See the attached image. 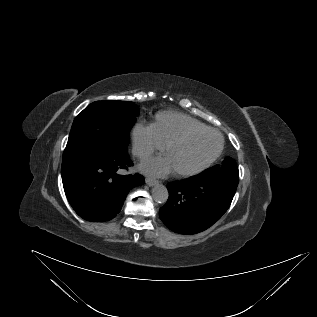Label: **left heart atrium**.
Wrapping results in <instances>:
<instances>
[{"mask_svg": "<svg viewBox=\"0 0 317 317\" xmlns=\"http://www.w3.org/2000/svg\"><path fill=\"white\" fill-rule=\"evenodd\" d=\"M142 170L156 175H166L172 171L171 166L165 156L150 159L142 164Z\"/></svg>", "mask_w": 317, "mask_h": 317, "instance_id": "obj_1", "label": "left heart atrium"}]
</instances>
